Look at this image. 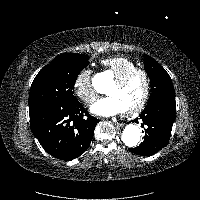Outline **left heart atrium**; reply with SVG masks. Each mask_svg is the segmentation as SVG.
I'll list each match as a JSON object with an SVG mask.
<instances>
[{"label": "left heart atrium", "mask_w": 200, "mask_h": 200, "mask_svg": "<svg viewBox=\"0 0 200 200\" xmlns=\"http://www.w3.org/2000/svg\"><path fill=\"white\" fill-rule=\"evenodd\" d=\"M91 112L98 116L109 117L123 112L119 102L114 96L99 99L91 106Z\"/></svg>", "instance_id": "left-heart-atrium-1"}]
</instances>
